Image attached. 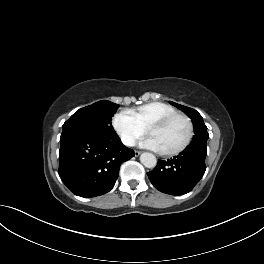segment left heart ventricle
Segmentation results:
<instances>
[{
  "mask_svg": "<svg viewBox=\"0 0 264 264\" xmlns=\"http://www.w3.org/2000/svg\"><path fill=\"white\" fill-rule=\"evenodd\" d=\"M188 135V125L182 118L172 120L163 129L154 132L153 137L162 151H169L180 146Z\"/></svg>",
  "mask_w": 264,
  "mask_h": 264,
  "instance_id": "1",
  "label": "left heart ventricle"
}]
</instances>
